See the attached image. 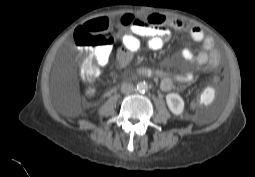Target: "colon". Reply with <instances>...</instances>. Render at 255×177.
<instances>
[{
  "instance_id": "5ec220e1",
  "label": "colon",
  "mask_w": 255,
  "mask_h": 177,
  "mask_svg": "<svg viewBox=\"0 0 255 177\" xmlns=\"http://www.w3.org/2000/svg\"><path fill=\"white\" fill-rule=\"evenodd\" d=\"M131 15L122 16L119 21L110 22L106 19H98L84 24V30L78 28L75 32V42L78 46L77 53L79 64L88 81H92L101 71L96 52L105 47L111 46L113 39L109 30L110 24L131 25L134 21Z\"/></svg>"
}]
</instances>
